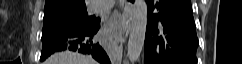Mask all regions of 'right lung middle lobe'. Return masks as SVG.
<instances>
[{"label": "right lung middle lobe", "mask_w": 242, "mask_h": 64, "mask_svg": "<svg viewBox=\"0 0 242 64\" xmlns=\"http://www.w3.org/2000/svg\"><path fill=\"white\" fill-rule=\"evenodd\" d=\"M43 21L42 49L53 40L96 27L100 19L88 16L85 6H82L44 13Z\"/></svg>", "instance_id": "right-lung-middle-lobe-1"}]
</instances>
